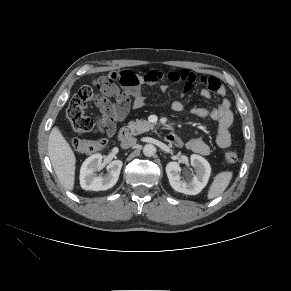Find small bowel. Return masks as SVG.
I'll use <instances>...</instances> for the list:
<instances>
[{"instance_id":"1","label":"small bowel","mask_w":291,"mask_h":291,"mask_svg":"<svg viewBox=\"0 0 291 291\" xmlns=\"http://www.w3.org/2000/svg\"><path fill=\"white\" fill-rule=\"evenodd\" d=\"M106 78L111 82V86L105 92V96L114 99L112 103L106 98V104L100 109L102 129L108 134L114 131L117 122L125 119L131 108L138 109L143 106L145 101L142 92L143 87L154 86L168 80L183 83V91L188 93L197 81L195 74L186 69L149 70L142 75L123 70L111 72ZM114 81H119L121 88ZM201 82L205 86L201 91L202 97L210 99L212 94H216L221 99L220 103L214 107H193L190 112L194 116L200 118L209 117L215 121L217 123L216 143L220 148H227L231 144L230 127L234 116L231 110V103L226 97V89L214 77L203 76ZM160 89L164 91L166 85H160ZM171 108L176 112H180L184 109V105L181 101L175 100L172 102ZM173 144L177 147L185 146L188 150L202 155H206L209 152V146L202 137H195L184 142L176 136V141Z\"/></svg>"}]
</instances>
